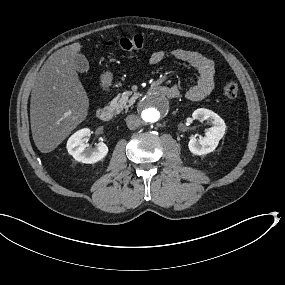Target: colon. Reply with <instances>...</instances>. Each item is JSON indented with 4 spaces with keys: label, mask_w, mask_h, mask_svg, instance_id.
I'll return each mask as SVG.
<instances>
[{
    "label": "colon",
    "mask_w": 285,
    "mask_h": 285,
    "mask_svg": "<svg viewBox=\"0 0 285 285\" xmlns=\"http://www.w3.org/2000/svg\"><path fill=\"white\" fill-rule=\"evenodd\" d=\"M106 46L115 47L123 51L140 50L144 47V38L141 35L120 38L116 41L105 42ZM239 93V86L236 82H227L223 87V95L228 100H234Z\"/></svg>",
    "instance_id": "obj_1"
}]
</instances>
